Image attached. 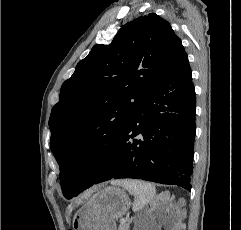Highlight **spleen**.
I'll list each match as a JSON object with an SVG mask.
<instances>
[{"label":"spleen","mask_w":241,"mask_h":230,"mask_svg":"<svg viewBox=\"0 0 241 230\" xmlns=\"http://www.w3.org/2000/svg\"><path fill=\"white\" fill-rule=\"evenodd\" d=\"M113 185H120L124 187L131 195L135 196L132 206L134 212L140 211L147 205L156 194L155 187L151 183L140 180H119L113 181Z\"/></svg>","instance_id":"obj_1"}]
</instances>
